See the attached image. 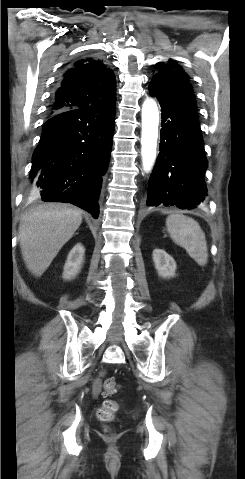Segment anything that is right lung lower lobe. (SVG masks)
I'll list each match as a JSON object with an SVG mask.
<instances>
[{
    "instance_id": "right-lung-lower-lobe-1",
    "label": "right lung lower lobe",
    "mask_w": 245,
    "mask_h": 479,
    "mask_svg": "<svg viewBox=\"0 0 245 479\" xmlns=\"http://www.w3.org/2000/svg\"><path fill=\"white\" fill-rule=\"evenodd\" d=\"M115 105L50 115L34 151L28 194L99 214L114 130Z\"/></svg>"
}]
</instances>
